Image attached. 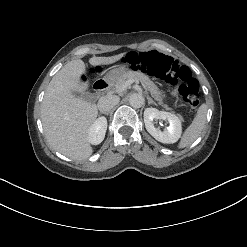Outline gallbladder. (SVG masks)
I'll return each mask as SVG.
<instances>
[{"mask_svg": "<svg viewBox=\"0 0 247 247\" xmlns=\"http://www.w3.org/2000/svg\"><path fill=\"white\" fill-rule=\"evenodd\" d=\"M73 95H74L75 97H77V98L86 100V101H88V102L93 101L94 98H95L94 94L88 93V92H85V93L73 92Z\"/></svg>", "mask_w": 247, "mask_h": 247, "instance_id": "gallbladder-1", "label": "gallbladder"}]
</instances>
